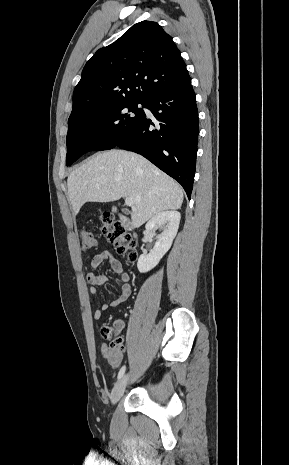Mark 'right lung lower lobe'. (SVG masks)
I'll return each mask as SVG.
<instances>
[{"label":"right lung lower lobe","instance_id":"right-lung-lower-lobe-1","mask_svg":"<svg viewBox=\"0 0 289 465\" xmlns=\"http://www.w3.org/2000/svg\"><path fill=\"white\" fill-rule=\"evenodd\" d=\"M138 125L115 147L141 154L177 180L191 197L198 144V110L191 81L183 87L161 91L145 100Z\"/></svg>","mask_w":289,"mask_h":465}]
</instances>
